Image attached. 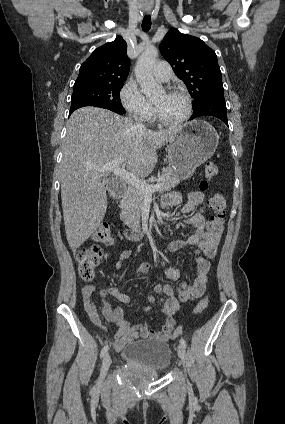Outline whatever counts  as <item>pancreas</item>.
<instances>
[{
	"label": "pancreas",
	"mask_w": 285,
	"mask_h": 424,
	"mask_svg": "<svg viewBox=\"0 0 285 424\" xmlns=\"http://www.w3.org/2000/svg\"><path fill=\"white\" fill-rule=\"evenodd\" d=\"M179 181L180 179L175 175L173 169L168 167L158 176L157 182L162 185L159 191H169L174 188ZM145 197V194L140 190L130 186L127 188L124 198L120 203V208L122 209L120 218L131 228H138L140 226V217Z\"/></svg>",
	"instance_id": "1"
}]
</instances>
